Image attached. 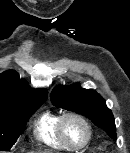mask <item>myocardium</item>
<instances>
[{"instance_id":"f54148a6","label":"myocardium","mask_w":130,"mask_h":153,"mask_svg":"<svg viewBox=\"0 0 130 153\" xmlns=\"http://www.w3.org/2000/svg\"><path fill=\"white\" fill-rule=\"evenodd\" d=\"M69 118H73V119L78 120L84 126V128L86 130V133H87L86 139L80 145L72 144L67 139V137L65 135L64 124H65L66 120ZM57 130H58V133H59L61 140L71 150H81V149L85 148L90 143L91 138H92V128H91L89 121L82 114L75 112V111H67V112L63 113L62 115H60L59 120H58V124H57Z\"/></svg>"}]
</instances>
